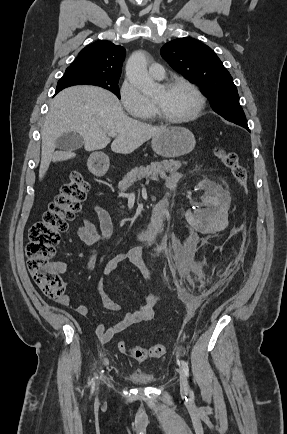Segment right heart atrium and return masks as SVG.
Wrapping results in <instances>:
<instances>
[{"label": "right heart atrium", "mask_w": 287, "mask_h": 434, "mask_svg": "<svg viewBox=\"0 0 287 434\" xmlns=\"http://www.w3.org/2000/svg\"><path fill=\"white\" fill-rule=\"evenodd\" d=\"M119 95L125 111L132 116H143L152 109L148 98L128 78L122 82Z\"/></svg>", "instance_id": "d8ad5b80"}]
</instances>
